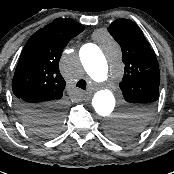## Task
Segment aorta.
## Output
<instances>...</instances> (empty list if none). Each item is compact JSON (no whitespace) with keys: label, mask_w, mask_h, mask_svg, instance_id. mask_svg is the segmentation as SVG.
<instances>
[{"label":"aorta","mask_w":174,"mask_h":174,"mask_svg":"<svg viewBox=\"0 0 174 174\" xmlns=\"http://www.w3.org/2000/svg\"><path fill=\"white\" fill-rule=\"evenodd\" d=\"M106 43L105 55L93 44H85L80 49V58L84 69L97 84H102L107 79V61L114 64L121 59L119 46L108 36H106ZM92 105L107 131L111 132L112 128L118 127L122 123V116L112 113L115 99L110 90L101 86L93 97Z\"/></svg>","instance_id":"1"}]
</instances>
